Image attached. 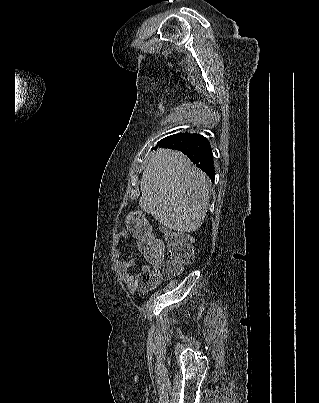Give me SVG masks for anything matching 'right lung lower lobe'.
<instances>
[{"instance_id": "right-lung-lower-lobe-1", "label": "right lung lower lobe", "mask_w": 319, "mask_h": 403, "mask_svg": "<svg viewBox=\"0 0 319 403\" xmlns=\"http://www.w3.org/2000/svg\"><path fill=\"white\" fill-rule=\"evenodd\" d=\"M159 147L179 150L202 169L212 181L215 178L213 154L209 141L202 135L180 133L168 136L158 143ZM156 149V148H154Z\"/></svg>"}]
</instances>
